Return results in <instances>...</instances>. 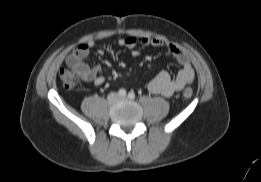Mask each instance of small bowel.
<instances>
[{"mask_svg": "<svg viewBox=\"0 0 261 182\" xmlns=\"http://www.w3.org/2000/svg\"><path fill=\"white\" fill-rule=\"evenodd\" d=\"M120 46L131 50L134 57L139 55L137 46L154 47L167 50L181 66L176 77L172 78L166 71H161L147 84L146 88L153 94H160L166 97L180 91L194 79V70L188 55L178 46L159 39H147L136 37H125L118 40ZM95 46V41L90 40L80 43L66 58L67 65L74 70L83 81L94 86L104 84L105 77L100 66H91L85 59L89 56L90 50ZM103 49L98 50L99 55H104Z\"/></svg>", "mask_w": 261, "mask_h": 182, "instance_id": "c3829d8e", "label": "small bowel"}]
</instances>
